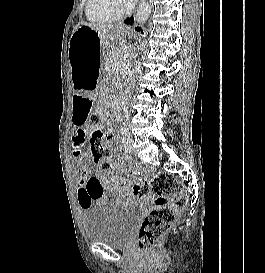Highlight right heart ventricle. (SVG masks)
<instances>
[{
  "mask_svg": "<svg viewBox=\"0 0 265 273\" xmlns=\"http://www.w3.org/2000/svg\"><path fill=\"white\" fill-rule=\"evenodd\" d=\"M122 11L114 0H87L86 16L95 23L112 22L119 19Z\"/></svg>",
  "mask_w": 265,
  "mask_h": 273,
  "instance_id": "right-heart-ventricle-1",
  "label": "right heart ventricle"
}]
</instances>
